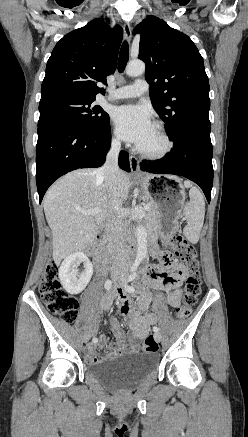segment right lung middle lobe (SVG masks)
<instances>
[{
  "mask_svg": "<svg viewBox=\"0 0 248 437\" xmlns=\"http://www.w3.org/2000/svg\"><path fill=\"white\" fill-rule=\"evenodd\" d=\"M93 101L66 93L49 94L41 97L39 119L56 117L99 130L110 123L109 115L100 106H91Z\"/></svg>",
  "mask_w": 248,
  "mask_h": 437,
  "instance_id": "dd1d6c3e",
  "label": "right lung middle lobe"
}]
</instances>
